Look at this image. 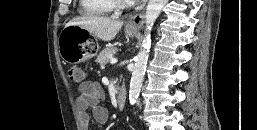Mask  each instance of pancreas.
<instances>
[{
  "instance_id": "cf45deb5",
  "label": "pancreas",
  "mask_w": 257,
  "mask_h": 130,
  "mask_svg": "<svg viewBox=\"0 0 257 130\" xmlns=\"http://www.w3.org/2000/svg\"><path fill=\"white\" fill-rule=\"evenodd\" d=\"M117 51H118V49L116 47L105 48L98 55L96 62L98 64H100L101 66H105L106 64L109 63V61L111 60L113 55L117 53Z\"/></svg>"
}]
</instances>
